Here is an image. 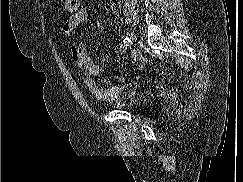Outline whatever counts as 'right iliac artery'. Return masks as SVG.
I'll return each mask as SVG.
<instances>
[{
  "mask_svg": "<svg viewBox=\"0 0 243 182\" xmlns=\"http://www.w3.org/2000/svg\"><path fill=\"white\" fill-rule=\"evenodd\" d=\"M130 43H131V40L128 38V37H125L124 39H123V43H122V45L124 46V47H129L130 46Z\"/></svg>",
  "mask_w": 243,
  "mask_h": 182,
  "instance_id": "right-iliac-artery-1",
  "label": "right iliac artery"
}]
</instances>
